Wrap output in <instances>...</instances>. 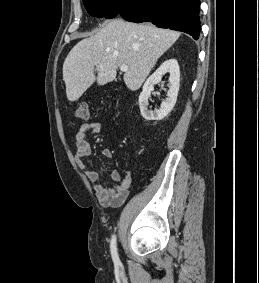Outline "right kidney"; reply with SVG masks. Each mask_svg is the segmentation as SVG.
Segmentation results:
<instances>
[{
  "instance_id": "ca27d5eb",
  "label": "right kidney",
  "mask_w": 259,
  "mask_h": 283,
  "mask_svg": "<svg viewBox=\"0 0 259 283\" xmlns=\"http://www.w3.org/2000/svg\"><path fill=\"white\" fill-rule=\"evenodd\" d=\"M169 74L168 98L161 103L159 109H148V99L154 90V85L161 82L162 76ZM180 86V69L176 59L166 60L161 66L146 80L143 90L139 96V107L142 117L147 120H162L173 109Z\"/></svg>"
}]
</instances>
